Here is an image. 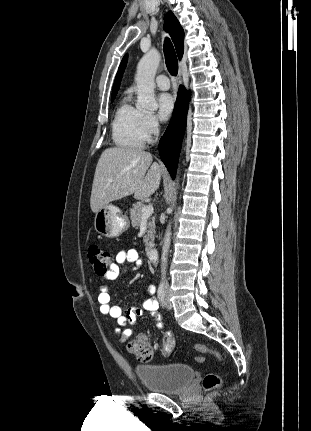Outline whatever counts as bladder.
<instances>
[{"label":"bladder","mask_w":311,"mask_h":431,"mask_svg":"<svg viewBox=\"0 0 311 431\" xmlns=\"http://www.w3.org/2000/svg\"><path fill=\"white\" fill-rule=\"evenodd\" d=\"M135 373L146 388L166 394L183 391L195 375L194 369L184 363L140 364L135 367Z\"/></svg>","instance_id":"31cf9c89"}]
</instances>
